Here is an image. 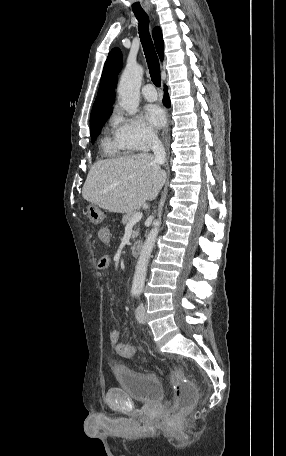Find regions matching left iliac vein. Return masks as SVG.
I'll list each match as a JSON object with an SVG mask.
<instances>
[{
	"label": "left iliac vein",
	"mask_w": 286,
	"mask_h": 456,
	"mask_svg": "<svg viewBox=\"0 0 286 456\" xmlns=\"http://www.w3.org/2000/svg\"><path fill=\"white\" fill-rule=\"evenodd\" d=\"M136 319L140 322V323H145L146 322V310H145V307L142 303H140L136 309Z\"/></svg>",
	"instance_id": "1"
}]
</instances>
